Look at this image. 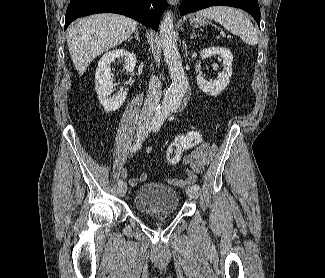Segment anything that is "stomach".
<instances>
[{
	"label": "stomach",
	"mask_w": 325,
	"mask_h": 278,
	"mask_svg": "<svg viewBox=\"0 0 325 278\" xmlns=\"http://www.w3.org/2000/svg\"><path fill=\"white\" fill-rule=\"evenodd\" d=\"M205 23L206 20L202 16L192 15L190 18V24L195 28L204 26Z\"/></svg>",
	"instance_id": "0dacf381"
}]
</instances>
